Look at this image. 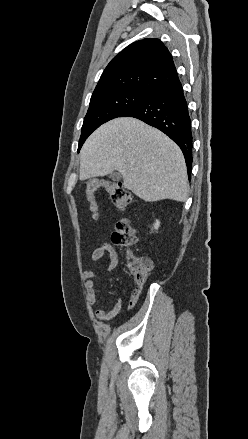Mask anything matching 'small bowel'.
<instances>
[{"label": "small bowel", "mask_w": 248, "mask_h": 439, "mask_svg": "<svg viewBox=\"0 0 248 439\" xmlns=\"http://www.w3.org/2000/svg\"><path fill=\"white\" fill-rule=\"evenodd\" d=\"M106 255L109 258V263L105 271L109 273L115 270L119 263L118 253L110 243L106 242L95 248L92 252L91 260L95 265H97ZM97 276V272L92 269H88L83 272L87 300L91 305L96 306L95 316L98 320L109 321L121 311L124 305V301L122 299H119L110 310H106L97 299L95 290ZM141 289L142 286H136L132 291L127 305V309L129 311L135 307L140 296Z\"/></svg>", "instance_id": "small-bowel-1"}]
</instances>
